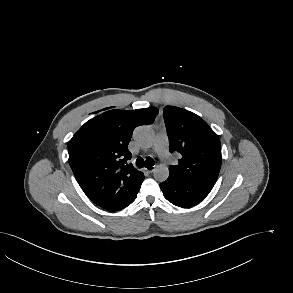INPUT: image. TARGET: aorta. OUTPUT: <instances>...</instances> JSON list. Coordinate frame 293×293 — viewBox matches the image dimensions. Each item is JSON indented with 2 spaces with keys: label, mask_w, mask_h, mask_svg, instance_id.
Masks as SVG:
<instances>
[{
  "label": "aorta",
  "mask_w": 293,
  "mask_h": 293,
  "mask_svg": "<svg viewBox=\"0 0 293 293\" xmlns=\"http://www.w3.org/2000/svg\"><path fill=\"white\" fill-rule=\"evenodd\" d=\"M134 139L144 147H150L154 140L155 135L153 130L146 125L139 126L134 131ZM154 178L159 182H164L169 176V170L166 165H157L153 170Z\"/></svg>",
  "instance_id": "762f6f07"
}]
</instances>
